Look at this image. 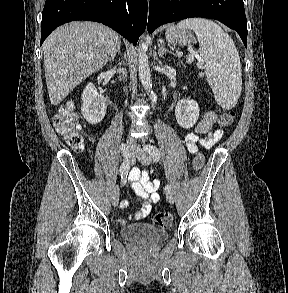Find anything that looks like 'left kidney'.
Returning a JSON list of instances; mask_svg holds the SVG:
<instances>
[{
  "mask_svg": "<svg viewBox=\"0 0 288 293\" xmlns=\"http://www.w3.org/2000/svg\"><path fill=\"white\" fill-rule=\"evenodd\" d=\"M199 106L194 100H180L175 108V116L178 124L189 129L195 125L199 118Z\"/></svg>",
  "mask_w": 288,
  "mask_h": 293,
  "instance_id": "5707ae66",
  "label": "left kidney"
}]
</instances>
